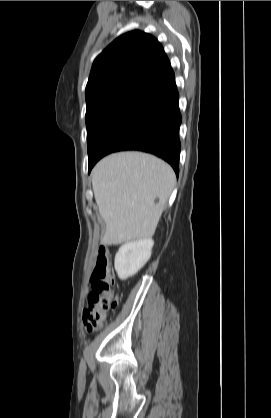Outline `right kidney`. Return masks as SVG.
<instances>
[{
  "label": "right kidney",
  "instance_id": "ca27d5eb",
  "mask_svg": "<svg viewBox=\"0 0 271 418\" xmlns=\"http://www.w3.org/2000/svg\"><path fill=\"white\" fill-rule=\"evenodd\" d=\"M154 242L151 238L123 244L115 255V270L121 280L135 275L150 259Z\"/></svg>",
  "mask_w": 271,
  "mask_h": 418
}]
</instances>
